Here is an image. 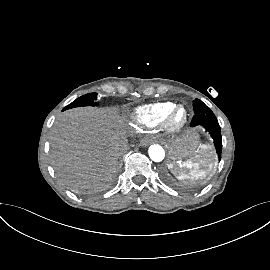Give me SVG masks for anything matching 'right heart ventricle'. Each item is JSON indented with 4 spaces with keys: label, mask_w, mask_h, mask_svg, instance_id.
I'll use <instances>...</instances> for the list:
<instances>
[{
    "label": "right heart ventricle",
    "mask_w": 270,
    "mask_h": 270,
    "mask_svg": "<svg viewBox=\"0 0 270 270\" xmlns=\"http://www.w3.org/2000/svg\"><path fill=\"white\" fill-rule=\"evenodd\" d=\"M175 106V103L157 102L137 107L132 118L134 122L145 128H154L163 124L167 114Z\"/></svg>",
    "instance_id": "obj_1"
}]
</instances>
